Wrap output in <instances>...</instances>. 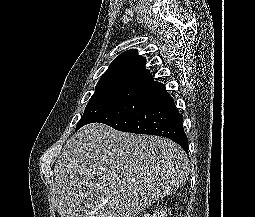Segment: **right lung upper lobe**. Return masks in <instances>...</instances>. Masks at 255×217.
<instances>
[{"label": "right lung upper lobe", "mask_w": 255, "mask_h": 217, "mask_svg": "<svg viewBox=\"0 0 255 217\" xmlns=\"http://www.w3.org/2000/svg\"><path fill=\"white\" fill-rule=\"evenodd\" d=\"M146 60L138 55L137 50L123 52L112 61L107 71L100 78L96 89L111 86L148 87L154 83L150 72L145 68Z\"/></svg>", "instance_id": "obj_1"}]
</instances>
